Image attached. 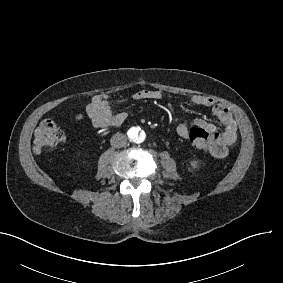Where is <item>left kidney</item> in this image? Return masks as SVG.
Wrapping results in <instances>:
<instances>
[{
	"label": "left kidney",
	"mask_w": 283,
	"mask_h": 283,
	"mask_svg": "<svg viewBox=\"0 0 283 283\" xmlns=\"http://www.w3.org/2000/svg\"><path fill=\"white\" fill-rule=\"evenodd\" d=\"M190 165H191V167L194 168V169L198 168V166H199V165H198V162L195 161V160L191 161V162H190Z\"/></svg>",
	"instance_id": "1"
}]
</instances>
